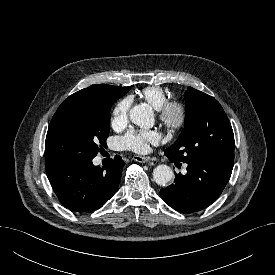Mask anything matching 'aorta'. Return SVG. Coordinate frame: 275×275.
Returning <instances> with one entry per match:
<instances>
[{
	"label": "aorta",
	"mask_w": 275,
	"mask_h": 275,
	"mask_svg": "<svg viewBox=\"0 0 275 275\" xmlns=\"http://www.w3.org/2000/svg\"><path fill=\"white\" fill-rule=\"evenodd\" d=\"M130 120L142 127V128H151L154 125V116L152 108L147 104H139L134 106L130 110ZM174 176L172 169L167 165H158L153 170V179L160 185L165 186L168 184Z\"/></svg>",
	"instance_id": "762f6f07"
}]
</instances>
